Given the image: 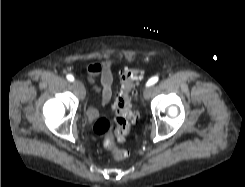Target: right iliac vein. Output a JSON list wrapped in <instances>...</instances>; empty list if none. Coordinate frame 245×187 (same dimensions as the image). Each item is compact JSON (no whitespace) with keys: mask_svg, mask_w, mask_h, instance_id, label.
<instances>
[{"mask_svg":"<svg viewBox=\"0 0 245 187\" xmlns=\"http://www.w3.org/2000/svg\"><path fill=\"white\" fill-rule=\"evenodd\" d=\"M73 87L77 91L79 97L81 99H83L85 97V88H84L83 84L80 81L76 80L73 82Z\"/></svg>","mask_w":245,"mask_h":187,"instance_id":"right-iliac-vein-1","label":"right iliac vein"}]
</instances>
